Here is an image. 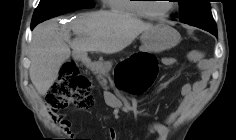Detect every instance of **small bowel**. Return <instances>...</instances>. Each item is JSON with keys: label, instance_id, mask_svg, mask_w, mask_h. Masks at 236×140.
<instances>
[{"label": "small bowel", "instance_id": "c3829d8e", "mask_svg": "<svg viewBox=\"0 0 236 140\" xmlns=\"http://www.w3.org/2000/svg\"><path fill=\"white\" fill-rule=\"evenodd\" d=\"M187 61L196 63L201 71V78L194 83L184 84L181 88V97L177 103L176 109L172 111L162 122H153L149 127L150 134H156L155 140H166L169 129L168 125L177 120L180 116L185 114L189 107L194 104L197 97L204 91L209 80V72L207 70V62L203 58L202 52L193 50L187 53ZM161 63L165 66H173L176 59L173 57H163ZM54 118L60 123L62 128L69 133L71 126L70 121L65 118L63 114L56 113ZM109 140H118V133L116 129H109Z\"/></svg>", "mask_w": 236, "mask_h": 140}]
</instances>
